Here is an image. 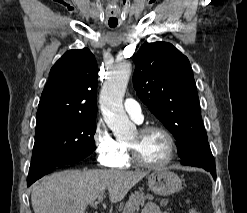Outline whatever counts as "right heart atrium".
Returning a JSON list of instances; mask_svg holds the SVG:
<instances>
[{"label": "right heart atrium", "mask_w": 247, "mask_h": 213, "mask_svg": "<svg viewBox=\"0 0 247 213\" xmlns=\"http://www.w3.org/2000/svg\"><path fill=\"white\" fill-rule=\"evenodd\" d=\"M92 141L99 164L104 167H116L122 157L123 150L104 123L98 122L96 124Z\"/></svg>", "instance_id": "right-heart-atrium-1"}]
</instances>
